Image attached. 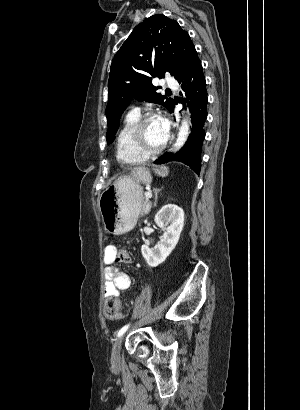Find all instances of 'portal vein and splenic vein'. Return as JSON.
Instances as JSON below:
<instances>
[{"mask_svg":"<svg viewBox=\"0 0 300 410\" xmlns=\"http://www.w3.org/2000/svg\"><path fill=\"white\" fill-rule=\"evenodd\" d=\"M145 197H146L147 199H148V198H151V197H152V193L149 192V191L145 192Z\"/></svg>","mask_w":300,"mask_h":410,"instance_id":"portal-vein-and-splenic-vein-1","label":"portal vein and splenic vein"}]
</instances>
